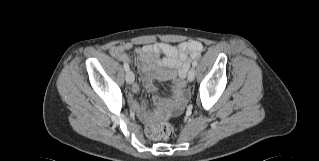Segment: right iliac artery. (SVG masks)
Returning a JSON list of instances; mask_svg holds the SVG:
<instances>
[{
	"label": "right iliac artery",
	"instance_id": "1",
	"mask_svg": "<svg viewBox=\"0 0 319 161\" xmlns=\"http://www.w3.org/2000/svg\"><path fill=\"white\" fill-rule=\"evenodd\" d=\"M124 69H125L126 71L129 70V65H128L127 63H124Z\"/></svg>",
	"mask_w": 319,
	"mask_h": 161
}]
</instances>
